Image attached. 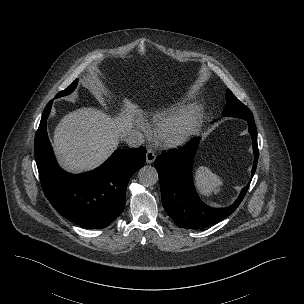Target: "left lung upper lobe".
<instances>
[{"label":"left lung upper lobe","mask_w":304,"mask_h":304,"mask_svg":"<svg viewBox=\"0 0 304 304\" xmlns=\"http://www.w3.org/2000/svg\"><path fill=\"white\" fill-rule=\"evenodd\" d=\"M223 116L237 117L245 120H254L251 111L228 89L226 93V106L222 112Z\"/></svg>","instance_id":"obj_1"}]
</instances>
